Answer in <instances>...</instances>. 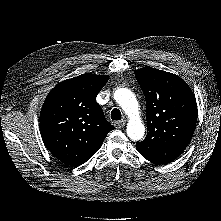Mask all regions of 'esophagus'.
I'll return each instance as SVG.
<instances>
[{
    "label": "esophagus",
    "instance_id": "34e87169",
    "mask_svg": "<svg viewBox=\"0 0 221 221\" xmlns=\"http://www.w3.org/2000/svg\"><path fill=\"white\" fill-rule=\"evenodd\" d=\"M125 124H126V121H125V120L116 121V122L114 123V125H115L116 128H123V127L125 126Z\"/></svg>",
    "mask_w": 221,
    "mask_h": 221
}]
</instances>
